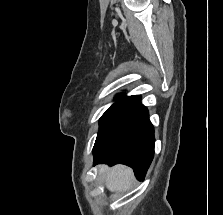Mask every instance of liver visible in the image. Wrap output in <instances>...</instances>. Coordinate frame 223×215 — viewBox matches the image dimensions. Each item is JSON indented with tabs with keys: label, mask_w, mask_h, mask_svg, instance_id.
<instances>
[{
	"label": "liver",
	"mask_w": 223,
	"mask_h": 215,
	"mask_svg": "<svg viewBox=\"0 0 223 215\" xmlns=\"http://www.w3.org/2000/svg\"><path fill=\"white\" fill-rule=\"evenodd\" d=\"M100 173H105V183L110 191L129 189L133 179L131 167H126V165H114V167L100 165L99 175Z\"/></svg>",
	"instance_id": "1"
}]
</instances>
